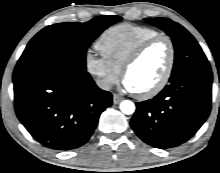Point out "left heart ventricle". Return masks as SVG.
Wrapping results in <instances>:
<instances>
[{
  "mask_svg": "<svg viewBox=\"0 0 220 173\" xmlns=\"http://www.w3.org/2000/svg\"><path fill=\"white\" fill-rule=\"evenodd\" d=\"M169 61V46L165 40L153 44L128 71L125 80L134 92H145L163 76Z\"/></svg>",
  "mask_w": 220,
  "mask_h": 173,
  "instance_id": "obj_1",
  "label": "left heart ventricle"
}]
</instances>
